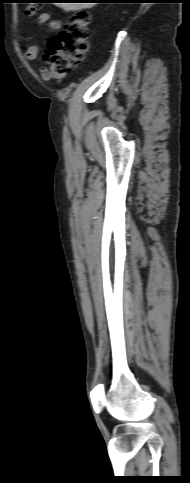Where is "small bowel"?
<instances>
[{
    "label": "small bowel",
    "instance_id": "c3829d8e",
    "mask_svg": "<svg viewBox=\"0 0 190 483\" xmlns=\"http://www.w3.org/2000/svg\"><path fill=\"white\" fill-rule=\"evenodd\" d=\"M38 24L51 31H57L61 26L60 21L52 19L49 13H42L38 18ZM39 50V44H30L25 52L26 58L29 60L36 59L38 57ZM42 76L45 80L49 79V76L45 72V67L42 68Z\"/></svg>",
    "mask_w": 190,
    "mask_h": 483
}]
</instances>
